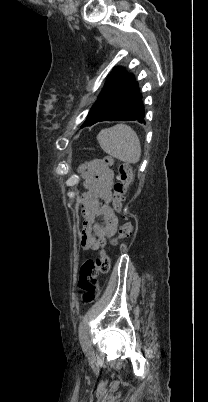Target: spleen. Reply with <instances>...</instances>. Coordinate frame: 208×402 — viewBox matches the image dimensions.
I'll use <instances>...</instances> for the list:
<instances>
[{"label": "spleen", "mask_w": 208, "mask_h": 402, "mask_svg": "<svg viewBox=\"0 0 208 402\" xmlns=\"http://www.w3.org/2000/svg\"><path fill=\"white\" fill-rule=\"evenodd\" d=\"M97 140L106 154L125 164H137L141 158L140 140L136 132L126 124L101 130Z\"/></svg>", "instance_id": "obj_1"}]
</instances>
